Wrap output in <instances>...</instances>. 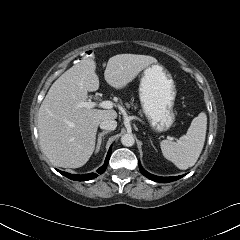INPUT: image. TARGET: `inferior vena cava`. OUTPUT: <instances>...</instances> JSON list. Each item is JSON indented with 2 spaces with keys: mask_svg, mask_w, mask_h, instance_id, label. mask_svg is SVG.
<instances>
[{
  "mask_svg": "<svg viewBox=\"0 0 240 240\" xmlns=\"http://www.w3.org/2000/svg\"><path fill=\"white\" fill-rule=\"evenodd\" d=\"M117 127V122L113 119H105L101 121L100 128L107 131L115 130Z\"/></svg>",
  "mask_w": 240,
  "mask_h": 240,
  "instance_id": "inferior-vena-cava-1",
  "label": "inferior vena cava"
}]
</instances>
